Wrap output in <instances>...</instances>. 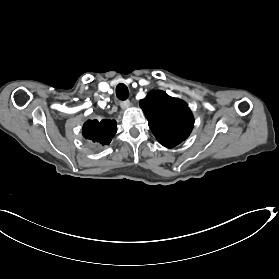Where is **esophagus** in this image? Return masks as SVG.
<instances>
[{"label": "esophagus", "mask_w": 279, "mask_h": 279, "mask_svg": "<svg viewBox=\"0 0 279 279\" xmlns=\"http://www.w3.org/2000/svg\"><path fill=\"white\" fill-rule=\"evenodd\" d=\"M120 106L122 109H126L130 106V101L129 100L122 101Z\"/></svg>", "instance_id": "obj_1"}]
</instances>
